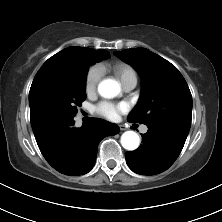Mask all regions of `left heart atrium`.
<instances>
[{
    "mask_svg": "<svg viewBox=\"0 0 222 222\" xmlns=\"http://www.w3.org/2000/svg\"><path fill=\"white\" fill-rule=\"evenodd\" d=\"M127 109L128 105L124 102L116 104L109 101H103L96 107L97 113L110 120H115L119 113L126 112Z\"/></svg>",
    "mask_w": 222,
    "mask_h": 222,
    "instance_id": "1",
    "label": "left heart atrium"
}]
</instances>
